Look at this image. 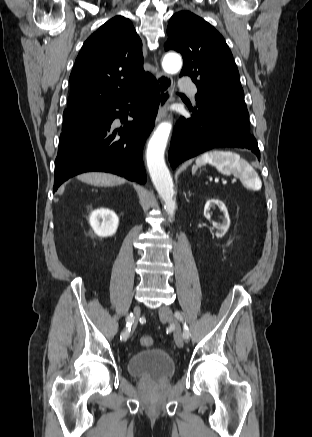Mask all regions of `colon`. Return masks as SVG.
I'll return each mask as SVG.
<instances>
[{
	"label": "colon",
	"mask_w": 312,
	"mask_h": 437,
	"mask_svg": "<svg viewBox=\"0 0 312 437\" xmlns=\"http://www.w3.org/2000/svg\"><path fill=\"white\" fill-rule=\"evenodd\" d=\"M140 343L143 347H151L153 345V338L149 335L142 336Z\"/></svg>",
	"instance_id": "colon-1"
}]
</instances>
